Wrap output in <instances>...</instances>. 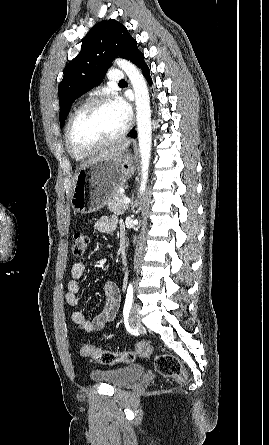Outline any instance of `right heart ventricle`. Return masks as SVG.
<instances>
[{
    "label": "right heart ventricle",
    "instance_id": "right-heart-ventricle-1",
    "mask_svg": "<svg viewBox=\"0 0 269 445\" xmlns=\"http://www.w3.org/2000/svg\"><path fill=\"white\" fill-rule=\"evenodd\" d=\"M71 154H72V153H71ZM72 156H73L76 160H78V161L83 160V158H84V157H82V156H76V155H74V154H72Z\"/></svg>",
    "mask_w": 269,
    "mask_h": 445
}]
</instances>
